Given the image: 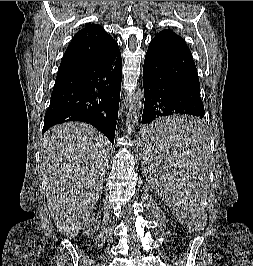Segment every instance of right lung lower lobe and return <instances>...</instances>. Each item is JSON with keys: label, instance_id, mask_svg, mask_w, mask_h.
I'll return each instance as SVG.
<instances>
[{"label": "right lung lower lobe", "instance_id": "1", "mask_svg": "<svg viewBox=\"0 0 253 266\" xmlns=\"http://www.w3.org/2000/svg\"><path fill=\"white\" fill-rule=\"evenodd\" d=\"M120 50L92 65L56 79L42 134L68 121H82L99 129L114 144L121 90Z\"/></svg>", "mask_w": 253, "mask_h": 266}]
</instances>
